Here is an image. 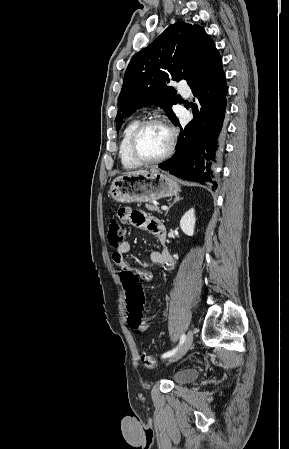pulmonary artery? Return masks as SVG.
Returning a JSON list of instances; mask_svg holds the SVG:
<instances>
[{
  "label": "pulmonary artery",
  "mask_w": 289,
  "mask_h": 449,
  "mask_svg": "<svg viewBox=\"0 0 289 449\" xmlns=\"http://www.w3.org/2000/svg\"><path fill=\"white\" fill-rule=\"evenodd\" d=\"M186 95H189L190 91L188 89L183 90Z\"/></svg>",
  "instance_id": "pulmonary-artery-1"
}]
</instances>
